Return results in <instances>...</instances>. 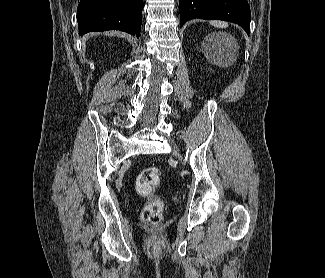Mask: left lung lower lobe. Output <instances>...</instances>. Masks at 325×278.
Returning a JSON list of instances; mask_svg holds the SVG:
<instances>
[{
    "label": "left lung lower lobe",
    "instance_id": "1",
    "mask_svg": "<svg viewBox=\"0 0 325 278\" xmlns=\"http://www.w3.org/2000/svg\"><path fill=\"white\" fill-rule=\"evenodd\" d=\"M180 27L188 20L218 19L239 24L249 35L251 12L247 0H180Z\"/></svg>",
    "mask_w": 325,
    "mask_h": 278
}]
</instances>
